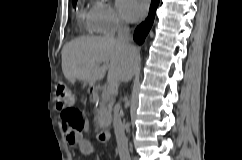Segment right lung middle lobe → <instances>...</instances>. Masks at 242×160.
<instances>
[{
  "label": "right lung middle lobe",
  "mask_w": 242,
  "mask_h": 160,
  "mask_svg": "<svg viewBox=\"0 0 242 160\" xmlns=\"http://www.w3.org/2000/svg\"><path fill=\"white\" fill-rule=\"evenodd\" d=\"M77 0H73V6H75Z\"/></svg>",
  "instance_id": "1"
}]
</instances>
